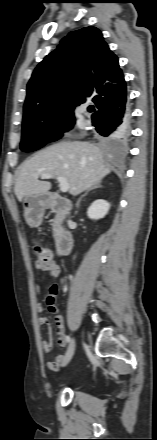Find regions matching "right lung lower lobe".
<instances>
[{
    "instance_id": "obj_1",
    "label": "right lung lower lobe",
    "mask_w": 157,
    "mask_h": 440,
    "mask_svg": "<svg viewBox=\"0 0 157 440\" xmlns=\"http://www.w3.org/2000/svg\"><path fill=\"white\" fill-rule=\"evenodd\" d=\"M93 126L99 135L112 137L116 140H126L129 136L130 115L127 106V96L110 101L93 116Z\"/></svg>"
}]
</instances>
